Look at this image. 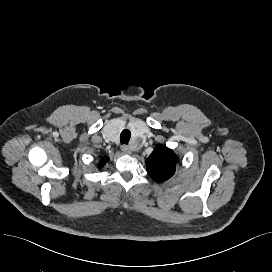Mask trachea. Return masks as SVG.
<instances>
[{"mask_svg":"<svg viewBox=\"0 0 272 272\" xmlns=\"http://www.w3.org/2000/svg\"><path fill=\"white\" fill-rule=\"evenodd\" d=\"M131 138V132L128 129H124L120 134V142L121 144H128Z\"/></svg>","mask_w":272,"mask_h":272,"instance_id":"trachea-1","label":"trachea"}]
</instances>
